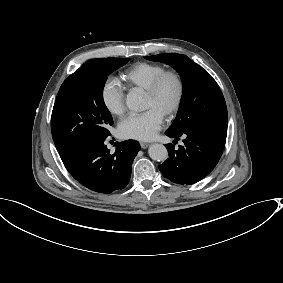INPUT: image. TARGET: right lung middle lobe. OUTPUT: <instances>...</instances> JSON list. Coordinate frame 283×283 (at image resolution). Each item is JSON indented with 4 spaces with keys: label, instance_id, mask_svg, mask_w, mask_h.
Listing matches in <instances>:
<instances>
[{
    "label": "right lung middle lobe",
    "instance_id": "obj_1",
    "mask_svg": "<svg viewBox=\"0 0 283 283\" xmlns=\"http://www.w3.org/2000/svg\"><path fill=\"white\" fill-rule=\"evenodd\" d=\"M127 58H97L84 63L60 87L52 111V137L61 159L107 137L113 119L103 100L107 77Z\"/></svg>",
    "mask_w": 283,
    "mask_h": 283
}]
</instances>
